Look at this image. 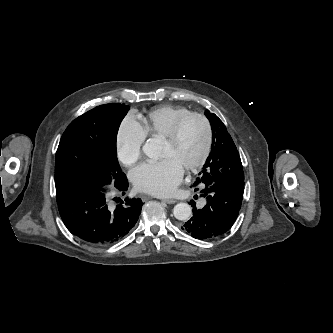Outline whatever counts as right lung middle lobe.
I'll return each instance as SVG.
<instances>
[{
	"label": "right lung middle lobe",
	"instance_id": "obj_1",
	"mask_svg": "<svg viewBox=\"0 0 333 333\" xmlns=\"http://www.w3.org/2000/svg\"><path fill=\"white\" fill-rule=\"evenodd\" d=\"M129 107L120 103L97 106L76 118L60 140L55 163V186L92 181L112 185L121 173L116 153V138Z\"/></svg>",
	"mask_w": 333,
	"mask_h": 333
}]
</instances>
